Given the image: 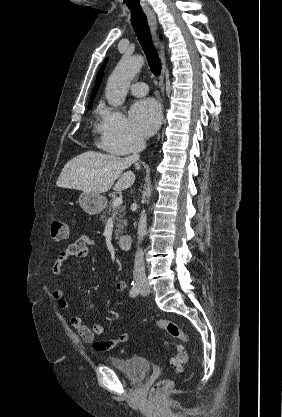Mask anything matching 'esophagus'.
<instances>
[{
    "mask_svg": "<svg viewBox=\"0 0 282 417\" xmlns=\"http://www.w3.org/2000/svg\"><path fill=\"white\" fill-rule=\"evenodd\" d=\"M147 18H148V22L152 31V35H153V39H154V43L155 45L158 47L159 50V55L161 58V62H162V71H161V75H160V80H159V86H160V90L162 92V95L164 97V75H165V70H166V55H165V47L164 44L159 40L158 34H157V20H156V15L154 12H152V10H147L145 11Z\"/></svg>",
    "mask_w": 282,
    "mask_h": 417,
    "instance_id": "1",
    "label": "esophagus"
}]
</instances>
